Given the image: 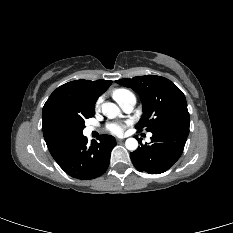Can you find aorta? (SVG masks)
Here are the masks:
<instances>
[{
	"mask_svg": "<svg viewBox=\"0 0 233 233\" xmlns=\"http://www.w3.org/2000/svg\"><path fill=\"white\" fill-rule=\"evenodd\" d=\"M102 113L107 118L112 119L120 113V109L116 104L106 102L102 104ZM125 146L128 150L134 151L138 148V141L135 138H128L125 141Z\"/></svg>",
	"mask_w": 233,
	"mask_h": 233,
	"instance_id": "762f6f07",
	"label": "aorta"
}]
</instances>
